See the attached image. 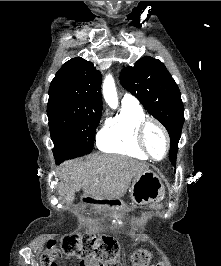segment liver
Segmentation results:
<instances>
[{"instance_id": "1", "label": "liver", "mask_w": 221, "mask_h": 266, "mask_svg": "<svg viewBox=\"0 0 221 266\" xmlns=\"http://www.w3.org/2000/svg\"><path fill=\"white\" fill-rule=\"evenodd\" d=\"M148 170L136 159L111 154H95L86 161L79 159L62 163L57 170L61 182L60 197L66 198L80 189L90 197L116 200L122 198L131 180Z\"/></svg>"}]
</instances>
